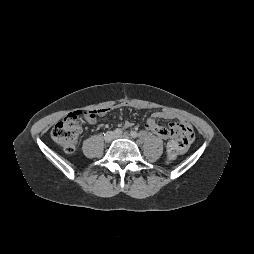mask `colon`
Wrapping results in <instances>:
<instances>
[{
  "label": "colon",
  "mask_w": 254,
  "mask_h": 254,
  "mask_svg": "<svg viewBox=\"0 0 254 254\" xmlns=\"http://www.w3.org/2000/svg\"><path fill=\"white\" fill-rule=\"evenodd\" d=\"M99 110L90 111L86 114L90 117H95ZM80 112L72 113L58 122L51 131V137L58 145H60L66 152L72 153L75 151L81 133L82 126L79 121ZM190 129L186 127H179L178 133L184 135ZM181 154V147L177 141H172L168 145L167 158L169 161L175 160Z\"/></svg>",
  "instance_id": "1"
}]
</instances>
